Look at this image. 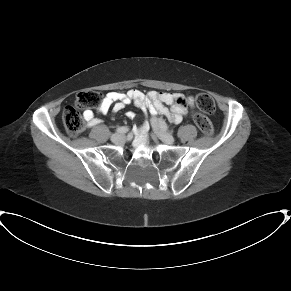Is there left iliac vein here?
I'll return each mask as SVG.
<instances>
[{
	"mask_svg": "<svg viewBox=\"0 0 291 291\" xmlns=\"http://www.w3.org/2000/svg\"><path fill=\"white\" fill-rule=\"evenodd\" d=\"M152 127L156 136L164 143L173 144L175 142L174 137L164 129H160L159 125L152 123Z\"/></svg>",
	"mask_w": 291,
	"mask_h": 291,
	"instance_id": "4c4485c4",
	"label": "left iliac vein"
}]
</instances>
